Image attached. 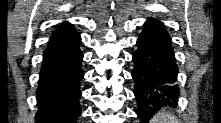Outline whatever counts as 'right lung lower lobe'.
Segmentation results:
<instances>
[{"label": "right lung lower lobe", "instance_id": "1", "mask_svg": "<svg viewBox=\"0 0 221 123\" xmlns=\"http://www.w3.org/2000/svg\"><path fill=\"white\" fill-rule=\"evenodd\" d=\"M80 42L78 33L49 41L36 91V119L40 123H77L81 114L80 80L84 75Z\"/></svg>", "mask_w": 221, "mask_h": 123}]
</instances>
